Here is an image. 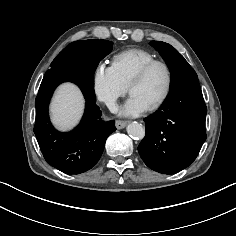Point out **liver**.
Returning a JSON list of instances; mask_svg holds the SVG:
<instances>
[{"label": "liver", "instance_id": "liver-1", "mask_svg": "<svg viewBox=\"0 0 236 236\" xmlns=\"http://www.w3.org/2000/svg\"><path fill=\"white\" fill-rule=\"evenodd\" d=\"M83 108L84 99L80 90L73 84H63L51 102L52 121L60 130H69L78 123Z\"/></svg>", "mask_w": 236, "mask_h": 236}]
</instances>
